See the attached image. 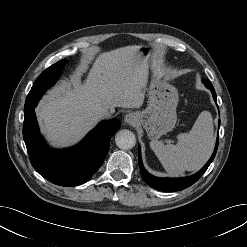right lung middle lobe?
Wrapping results in <instances>:
<instances>
[{
    "instance_id": "obj_1",
    "label": "right lung middle lobe",
    "mask_w": 247,
    "mask_h": 247,
    "mask_svg": "<svg viewBox=\"0 0 247 247\" xmlns=\"http://www.w3.org/2000/svg\"><path fill=\"white\" fill-rule=\"evenodd\" d=\"M65 63L66 60H61L44 70L35 81L28 95H43L45 90L50 88L58 80Z\"/></svg>"
}]
</instances>
